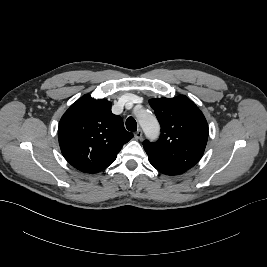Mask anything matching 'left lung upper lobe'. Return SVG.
<instances>
[{
	"instance_id": "obj_1",
	"label": "left lung upper lobe",
	"mask_w": 267,
	"mask_h": 267,
	"mask_svg": "<svg viewBox=\"0 0 267 267\" xmlns=\"http://www.w3.org/2000/svg\"><path fill=\"white\" fill-rule=\"evenodd\" d=\"M161 125L157 142H143L153 166L188 170L202 157L208 124L199 108L186 96L149 100Z\"/></svg>"
}]
</instances>
